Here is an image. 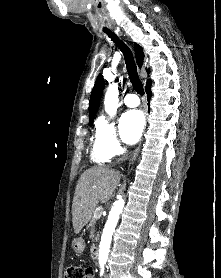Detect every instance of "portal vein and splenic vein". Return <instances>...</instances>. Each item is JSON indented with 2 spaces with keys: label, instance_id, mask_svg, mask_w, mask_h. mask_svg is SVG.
Returning <instances> with one entry per match:
<instances>
[{
  "label": "portal vein and splenic vein",
  "instance_id": "portal-vein-and-splenic-vein-1",
  "mask_svg": "<svg viewBox=\"0 0 221 278\" xmlns=\"http://www.w3.org/2000/svg\"><path fill=\"white\" fill-rule=\"evenodd\" d=\"M102 210H103V208H102V207H99V208L97 209V211L99 212V216H101V214H102Z\"/></svg>",
  "mask_w": 221,
  "mask_h": 278
}]
</instances>
